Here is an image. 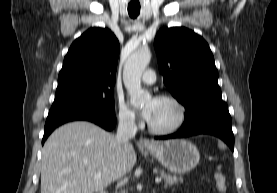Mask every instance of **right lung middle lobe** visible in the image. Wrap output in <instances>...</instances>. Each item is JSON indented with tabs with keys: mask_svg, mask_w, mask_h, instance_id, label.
<instances>
[{
	"mask_svg": "<svg viewBox=\"0 0 277 193\" xmlns=\"http://www.w3.org/2000/svg\"><path fill=\"white\" fill-rule=\"evenodd\" d=\"M54 103H76L114 114L113 86H86L56 92Z\"/></svg>",
	"mask_w": 277,
	"mask_h": 193,
	"instance_id": "right-lung-middle-lobe-1",
	"label": "right lung middle lobe"
}]
</instances>
